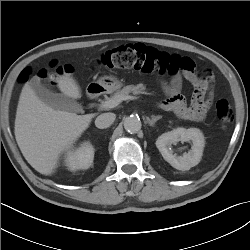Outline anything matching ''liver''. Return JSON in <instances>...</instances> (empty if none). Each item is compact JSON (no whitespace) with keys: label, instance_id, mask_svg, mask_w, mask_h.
Returning a JSON list of instances; mask_svg holds the SVG:
<instances>
[{"label":"liver","instance_id":"liver-1","mask_svg":"<svg viewBox=\"0 0 250 250\" xmlns=\"http://www.w3.org/2000/svg\"><path fill=\"white\" fill-rule=\"evenodd\" d=\"M57 84L65 96L81 97L80 87L69 74L60 76ZM94 116L55 110L45 104L27 83L18 101L15 138L27 162L39 173L51 175L61 154L89 127Z\"/></svg>","mask_w":250,"mask_h":250}]
</instances>
